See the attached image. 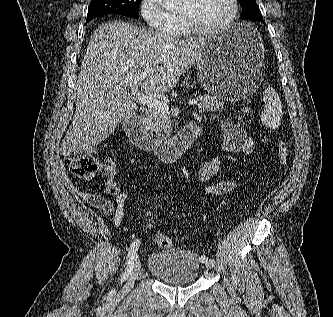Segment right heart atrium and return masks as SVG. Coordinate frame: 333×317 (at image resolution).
Returning a JSON list of instances; mask_svg holds the SVG:
<instances>
[{
    "label": "right heart atrium",
    "instance_id": "d8ad5b80",
    "mask_svg": "<svg viewBox=\"0 0 333 317\" xmlns=\"http://www.w3.org/2000/svg\"><path fill=\"white\" fill-rule=\"evenodd\" d=\"M139 11L146 24L152 29L164 34L175 32L176 16L165 10L158 0H140Z\"/></svg>",
    "mask_w": 333,
    "mask_h": 317
}]
</instances>
